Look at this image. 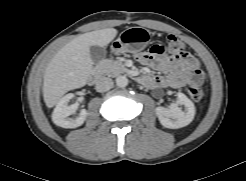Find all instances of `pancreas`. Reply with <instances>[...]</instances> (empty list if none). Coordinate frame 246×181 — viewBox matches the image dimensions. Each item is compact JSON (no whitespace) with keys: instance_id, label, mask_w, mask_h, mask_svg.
I'll return each instance as SVG.
<instances>
[{"instance_id":"pancreas-1","label":"pancreas","mask_w":246,"mask_h":181,"mask_svg":"<svg viewBox=\"0 0 246 181\" xmlns=\"http://www.w3.org/2000/svg\"><path fill=\"white\" fill-rule=\"evenodd\" d=\"M99 71L108 76H118L127 71V68L119 60L105 59L99 65Z\"/></svg>"}]
</instances>
